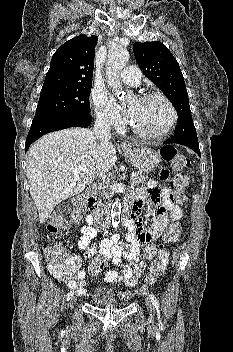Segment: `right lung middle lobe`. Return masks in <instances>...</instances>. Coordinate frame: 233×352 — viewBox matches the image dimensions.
I'll list each match as a JSON object with an SVG mask.
<instances>
[{"mask_svg":"<svg viewBox=\"0 0 233 352\" xmlns=\"http://www.w3.org/2000/svg\"><path fill=\"white\" fill-rule=\"evenodd\" d=\"M92 85L42 87L33 121L65 115H88Z\"/></svg>","mask_w":233,"mask_h":352,"instance_id":"dd1d6c3e","label":"right lung middle lobe"}]
</instances>
